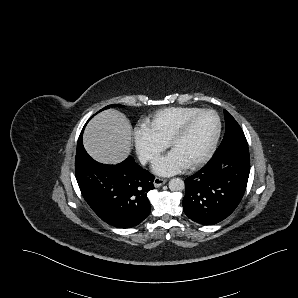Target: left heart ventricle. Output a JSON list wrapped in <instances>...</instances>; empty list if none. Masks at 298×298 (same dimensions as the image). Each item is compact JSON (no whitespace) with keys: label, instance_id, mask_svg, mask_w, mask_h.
<instances>
[{"label":"left heart ventricle","instance_id":"left-heart-ventricle-1","mask_svg":"<svg viewBox=\"0 0 298 298\" xmlns=\"http://www.w3.org/2000/svg\"><path fill=\"white\" fill-rule=\"evenodd\" d=\"M215 132V121L211 115L195 119L173 143L170 152L187 165L200 157L206 150Z\"/></svg>","mask_w":298,"mask_h":298}]
</instances>
